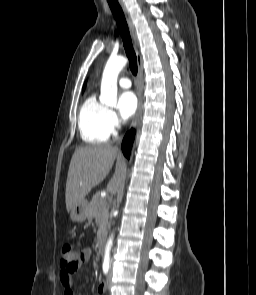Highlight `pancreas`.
<instances>
[{
    "instance_id": "pancreas-1",
    "label": "pancreas",
    "mask_w": 256,
    "mask_h": 295,
    "mask_svg": "<svg viewBox=\"0 0 256 295\" xmlns=\"http://www.w3.org/2000/svg\"><path fill=\"white\" fill-rule=\"evenodd\" d=\"M87 217L94 218L99 225L97 237L105 230L108 221V207L107 202L103 199H93L87 208Z\"/></svg>"
}]
</instances>
